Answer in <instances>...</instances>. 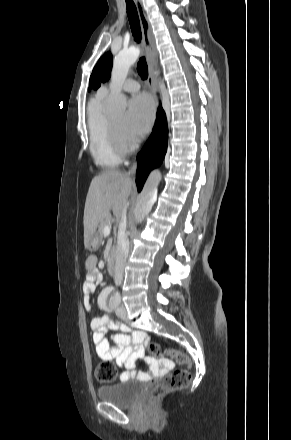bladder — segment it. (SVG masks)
Here are the masks:
<instances>
[{"label":"bladder","instance_id":"obj_1","mask_svg":"<svg viewBox=\"0 0 291 440\" xmlns=\"http://www.w3.org/2000/svg\"><path fill=\"white\" fill-rule=\"evenodd\" d=\"M141 390L135 382L123 380L97 389V397L117 406H128L135 402Z\"/></svg>","mask_w":291,"mask_h":440}]
</instances>
